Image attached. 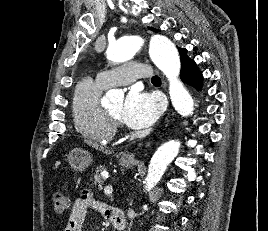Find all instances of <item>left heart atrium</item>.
I'll use <instances>...</instances> for the list:
<instances>
[{
    "label": "left heart atrium",
    "mask_w": 268,
    "mask_h": 231,
    "mask_svg": "<svg viewBox=\"0 0 268 231\" xmlns=\"http://www.w3.org/2000/svg\"><path fill=\"white\" fill-rule=\"evenodd\" d=\"M160 113L157 98L134 87L124 101L122 119L129 127L142 129L152 125Z\"/></svg>",
    "instance_id": "39dd6f15"
}]
</instances>
